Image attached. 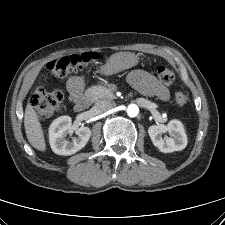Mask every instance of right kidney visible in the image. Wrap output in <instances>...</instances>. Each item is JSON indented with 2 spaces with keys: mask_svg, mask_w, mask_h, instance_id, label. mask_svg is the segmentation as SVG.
Segmentation results:
<instances>
[{
  "mask_svg": "<svg viewBox=\"0 0 225 225\" xmlns=\"http://www.w3.org/2000/svg\"><path fill=\"white\" fill-rule=\"evenodd\" d=\"M72 132V120L69 116L55 119L49 127V142L51 149L58 155H72L82 149L91 136L88 127H80L75 133L77 137L68 141L66 136Z\"/></svg>",
  "mask_w": 225,
  "mask_h": 225,
  "instance_id": "right-kidney-1",
  "label": "right kidney"
}]
</instances>
